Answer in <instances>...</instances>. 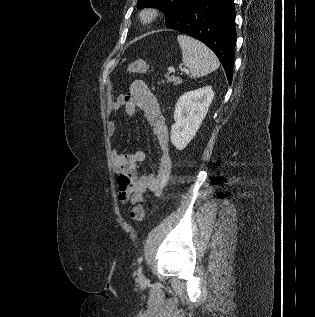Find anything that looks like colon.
I'll use <instances>...</instances> for the list:
<instances>
[{"instance_id":"5ec220e1","label":"colon","mask_w":315,"mask_h":317,"mask_svg":"<svg viewBox=\"0 0 315 317\" xmlns=\"http://www.w3.org/2000/svg\"><path fill=\"white\" fill-rule=\"evenodd\" d=\"M150 70L149 64L142 59L134 60L129 65V71L131 73H146ZM131 218L136 222H141L144 219L145 216V209L144 205L142 203L136 204L131 212H130Z\"/></svg>"}]
</instances>
